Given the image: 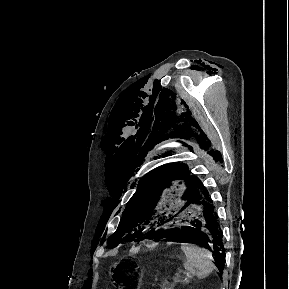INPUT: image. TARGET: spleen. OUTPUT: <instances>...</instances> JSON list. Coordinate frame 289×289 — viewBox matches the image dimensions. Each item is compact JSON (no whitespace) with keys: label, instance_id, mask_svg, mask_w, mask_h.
I'll use <instances>...</instances> for the list:
<instances>
[{"label":"spleen","instance_id":"3e777b00","mask_svg":"<svg viewBox=\"0 0 289 289\" xmlns=\"http://www.w3.org/2000/svg\"><path fill=\"white\" fill-rule=\"evenodd\" d=\"M181 250L186 256V261L183 263L186 271L201 279L214 270L212 255L208 250L188 243H181Z\"/></svg>","mask_w":289,"mask_h":289}]
</instances>
